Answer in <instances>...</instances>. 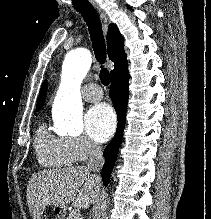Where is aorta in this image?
Wrapping results in <instances>:
<instances>
[{
    "label": "aorta",
    "mask_w": 211,
    "mask_h": 219,
    "mask_svg": "<svg viewBox=\"0 0 211 219\" xmlns=\"http://www.w3.org/2000/svg\"><path fill=\"white\" fill-rule=\"evenodd\" d=\"M91 61V53L84 48L68 52L63 61L61 85L54 102V116L63 134L79 136L83 132L80 86Z\"/></svg>",
    "instance_id": "1"
}]
</instances>
